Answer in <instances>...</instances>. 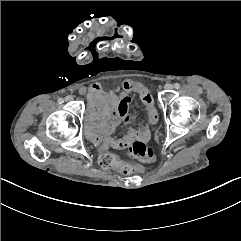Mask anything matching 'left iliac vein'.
Segmentation results:
<instances>
[{"label":"left iliac vein","mask_w":241,"mask_h":241,"mask_svg":"<svg viewBox=\"0 0 241 241\" xmlns=\"http://www.w3.org/2000/svg\"><path fill=\"white\" fill-rule=\"evenodd\" d=\"M164 89H165V90H171V89H173V85L170 84V83H166V84L164 85Z\"/></svg>","instance_id":"4c4485c4"}]
</instances>
